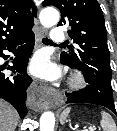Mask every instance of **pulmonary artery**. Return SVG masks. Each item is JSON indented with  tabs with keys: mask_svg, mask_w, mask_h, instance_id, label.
Listing matches in <instances>:
<instances>
[{
	"mask_svg": "<svg viewBox=\"0 0 117 131\" xmlns=\"http://www.w3.org/2000/svg\"><path fill=\"white\" fill-rule=\"evenodd\" d=\"M65 40V34L61 28H54L51 32V41L61 43Z\"/></svg>",
	"mask_w": 117,
	"mask_h": 131,
	"instance_id": "obj_1",
	"label": "pulmonary artery"
}]
</instances>
